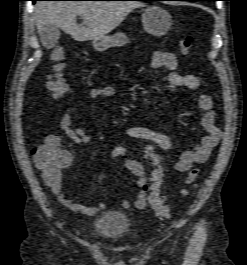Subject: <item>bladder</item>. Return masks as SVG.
<instances>
[{
  "instance_id": "obj_1",
  "label": "bladder",
  "mask_w": 247,
  "mask_h": 265,
  "mask_svg": "<svg viewBox=\"0 0 247 265\" xmlns=\"http://www.w3.org/2000/svg\"><path fill=\"white\" fill-rule=\"evenodd\" d=\"M131 229L129 217L120 211L108 210L96 216L94 230L107 238H119Z\"/></svg>"
}]
</instances>
